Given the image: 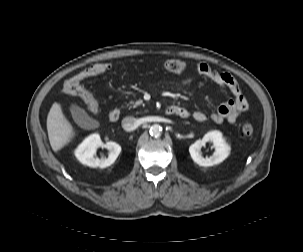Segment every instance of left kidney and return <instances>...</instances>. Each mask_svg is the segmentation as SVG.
<instances>
[{
	"label": "left kidney",
	"instance_id": "5707ae66",
	"mask_svg": "<svg viewBox=\"0 0 303 252\" xmlns=\"http://www.w3.org/2000/svg\"><path fill=\"white\" fill-rule=\"evenodd\" d=\"M207 142L213 143L214 153L207 158H204L201 153V148ZM230 146L225 142L222 133L219 131L207 132L201 140H197L189 147L190 155L195 163L199 166L209 167L223 162L229 155Z\"/></svg>",
	"mask_w": 303,
	"mask_h": 252
}]
</instances>
